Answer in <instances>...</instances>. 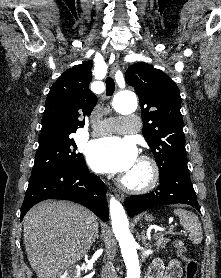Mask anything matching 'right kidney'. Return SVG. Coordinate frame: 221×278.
I'll use <instances>...</instances> for the list:
<instances>
[{
    "label": "right kidney",
    "instance_id": "1",
    "mask_svg": "<svg viewBox=\"0 0 221 278\" xmlns=\"http://www.w3.org/2000/svg\"><path fill=\"white\" fill-rule=\"evenodd\" d=\"M80 277V266L69 267L60 278H79Z\"/></svg>",
    "mask_w": 221,
    "mask_h": 278
}]
</instances>
